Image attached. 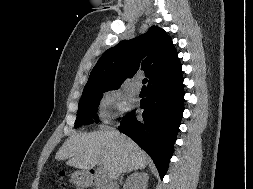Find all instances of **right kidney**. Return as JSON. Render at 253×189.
<instances>
[{
	"label": "right kidney",
	"instance_id": "1",
	"mask_svg": "<svg viewBox=\"0 0 253 189\" xmlns=\"http://www.w3.org/2000/svg\"><path fill=\"white\" fill-rule=\"evenodd\" d=\"M133 177V180H131ZM128 178L126 183V189H146L148 183L147 173H134Z\"/></svg>",
	"mask_w": 253,
	"mask_h": 189
}]
</instances>
